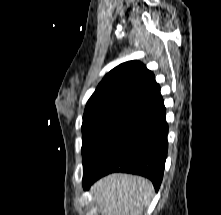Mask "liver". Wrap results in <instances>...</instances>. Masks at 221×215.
I'll return each instance as SVG.
<instances>
[{
    "label": "liver",
    "mask_w": 221,
    "mask_h": 215,
    "mask_svg": "<svg viewBox=\"0 0 221 215\" xmlns=\"http://www.w3.org/2000/svg\"><path fill=\"white\" fill-rule=\"evenodd\" d=\"M90 191L101 215H142L153 198L154 187L140 176L114 173L97 181Z\"/></svg>",
    "instance_id": "1"
}]
</instances>
